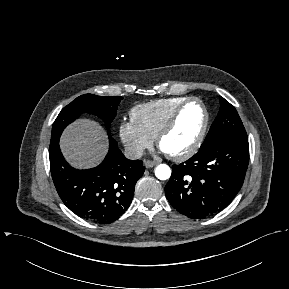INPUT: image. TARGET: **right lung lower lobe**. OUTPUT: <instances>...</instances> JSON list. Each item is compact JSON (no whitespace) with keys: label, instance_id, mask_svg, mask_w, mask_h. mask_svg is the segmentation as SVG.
I'll use <instances>...</instances> for the list:
<instances>
[{"label":"right lung lower lobe","instance_id":"right-lung-lower-lobe-1","mask_svg":"<svg viewBox=\"0 0 289 289\" xmlns=\"http://www.w3.org/2000/svg\"><path fill=\"white\" fill-rule=\"evenodd\" d=\"M109 143L104 161L88 170L72 168L59 142L49 149L52 179L63 203L81 218L100 224H109L125 212L145 170L141 160H128L111 136Z\"/></svg>","mask_w":289,"mask_h":289}]
</instances>
